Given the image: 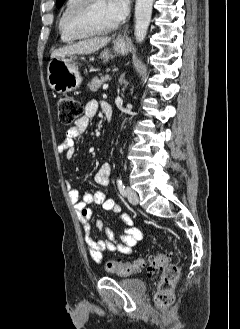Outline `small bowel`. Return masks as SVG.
Wrapping results in <instances>:
<instances>
[{
	"label": "small bowel",
	"mask_w": 240,
	"mask_h": 329,
	"mask_svg": "<svg viewBox=\"0 0 240 329\" xmlns=\"http://www.w3.org/2000/svg\"><path fill=\"white\" fill-rule=\"evenodd\" d=\"M97 109L98 103L94 100L89 101L85 106L83 115L67 130L65 138L59 142L57 149L60 153L65 154L67 159H73L76 156L74 140L85 132ZM111 172V165L103 163L94 175L95 183L107 186L110 182ZM65 185L68 190L69 200L83 225L85 231L84 242L91 258L97 263H102L105 250L121 252L126 255L132 254L134 246L142 239V232L134 226L133 220L128 214L121 213L120 205L114 199L108 198L103 191L87 192L80 199L79 192L73 188L69 181ZM92 204L100 205L104 210L117 215L118 220L123 225V234L120 241L115 239L113 230L100 219L96 221V227L106 236V239L96 240L91 236L92 210L90 205Z\"/></svg>",
	"instance_id": "c3829d8e"
}]
</instances>
